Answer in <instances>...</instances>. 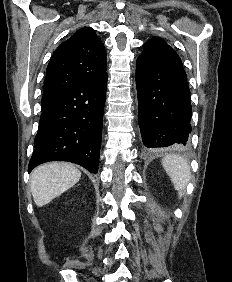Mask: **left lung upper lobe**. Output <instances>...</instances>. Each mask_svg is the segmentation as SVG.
<instances>
[{
	"mask_svg": "<svg viewBox=\"0 0 232 282\" xmlns=\"http://www.w3.org/2000/svg\"><path fill=\"white\" fill-rule=\"evenodd\" d=\"M158 37H154V38H152V39H157Z\"/></svg>",
	"mask_w": 232,
	"mask_h": 282,
	"instance_id": "obj_1",
	"label": "left lung upper lobe"
}]
</instances>
